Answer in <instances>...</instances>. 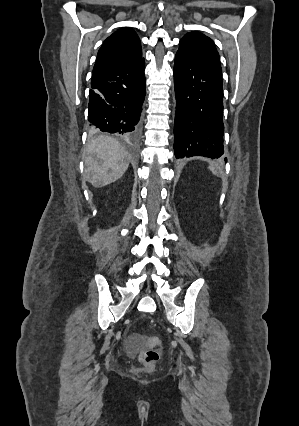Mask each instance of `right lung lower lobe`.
Listing matches in <instances>:
<instances>
[{"instance_id": "1", "label": "right lung lower lobe", "mask_w": 299, "mask_h": 426, "mask_svg": "<svg viewBox=\"0 0 299 426\" xmlns=\"http://www.w3.org/2000/svg\"><path fill=\"white\" fill-rule=\"evenodd\" d=\"M144 59L93 72L89 93V121L103 132L129 139L139 134L145 97Z\"/></svg>"}]
</instances>
